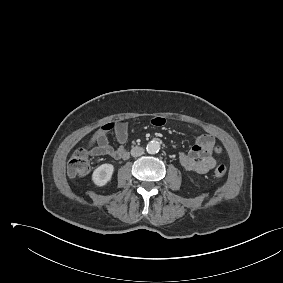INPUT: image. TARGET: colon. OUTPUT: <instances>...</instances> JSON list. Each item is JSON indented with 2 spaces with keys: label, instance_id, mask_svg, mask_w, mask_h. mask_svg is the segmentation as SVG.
<instances>
[{
  "label": "colon",
  "instance_id": "5ec220e1",
  "mask_svg": "<svg viewBox=\"0 0 283 283\" xmlns=\"http://www.w3.org/2000/svg\"><path fill=\"white\" fill-rule=\"evenodd\" d=\"M90 169V157L88 152L79 148L74 151L71 155L68 164H67V172L70 176H82L85 175ZM226 167L222 164L218 165L214 170V175L217 178H222L226 174Z\"/></svg>",
  "mask_w": 283,
  "mask_h": 283
}]
</instances>
